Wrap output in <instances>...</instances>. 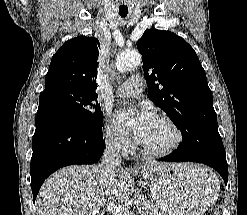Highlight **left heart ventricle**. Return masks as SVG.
I'll return each instance as SVG.
<instances>
[{"mask_svg":"<svg viewBox=\"0 0 247 215\" xmlns=\"http://www.w3.org/2000/svg\"><path fill=\"white\" fill-rule=\"evenodd\" d=\"M173 139L174 135L171 129L166 124L155 119L139 142L150 150H161L168 147Z\"/></svg>","mask_w":247,"mask_h":215,"instance_id":"obj_1","label":"left heart ventricle"}]
</instances>
